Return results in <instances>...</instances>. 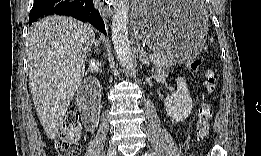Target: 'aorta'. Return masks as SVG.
Listing matches in <instances>:
<instances>
[{"mask_svg":"<svg viewBox=\"0 0 261 156\" xmlns=\"http://www.w3.org/2000/svg\"><path fill=\"white\" fill-rule=\"evenodd\" d=\"M128 12V1L119 0L112 17L111 33L117 60L124 68L132 70L134 59L128 38Z\"/></svg>","mask_w":261,"mask_h":156,"instance_id":"1","label":"aorta"}]
</instances>
